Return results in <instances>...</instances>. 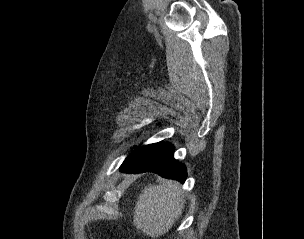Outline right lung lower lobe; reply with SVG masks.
Here are the masks:
<instances>
[{
    "label": "right lung lower lobe",
    "instance_id": "right-lung-lower-lobe-1",
    "mask_svg": "<svg viewBox=\"0 0 304 239\" xmlns=\"http://www.w3.org/2000/svg\"><path fill=\"white\" fill-rule=\"evenodd\" d=\"M174 147L170 143H155L143 146L131 153L120 170L127 173L155 172L162 177L184 182L186 168L173 157Z\"/></svg>",
    "mask_w": 304,
    "mask_h": 239
}]
</instances>
